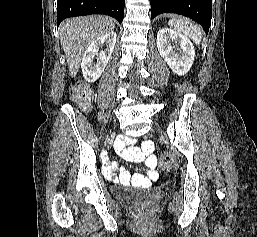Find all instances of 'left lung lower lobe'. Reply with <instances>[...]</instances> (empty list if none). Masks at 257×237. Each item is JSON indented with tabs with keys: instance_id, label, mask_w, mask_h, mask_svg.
Here are the masks:
<instances>
[{
	"instance_id": "0a47b994",
	"label": "left lung lower lobe",
	"mask_w": 257,
	"mask_h": 237,
	"mask_svg": "<svg viewBox=\"0 0 257 237\" xmlns=\"http://www.w3.org/2000/svg\"><path fill=\"white\" fill-rule=\"evenodd\" d=\"M162 13H176L199 23L209 31L212 17V0H151V18Z\"/></svg>"
}]
</instances>
